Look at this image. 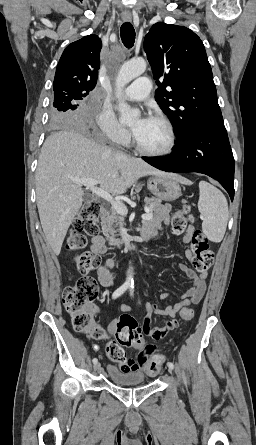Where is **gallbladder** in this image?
I'll return each instance as SVG.
<instances>
[{"label": "gallbladder", "mask_w": 256, "mask_h": 445, "mask_svg": "<svg viewBox=\"0 0 256 445\" xmlns=\"http://www.w3.org/2000/svg\"><path fill=\"white\" fill-rule=\"evenodd\" d=\"M84 199H85V200H88V198H87L86 196L84 197Z\"/></svg>", "instance_id": "bac80fb5"}]
</instances>
